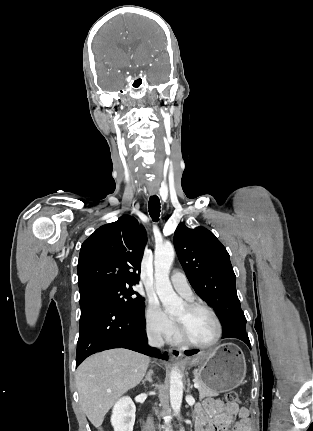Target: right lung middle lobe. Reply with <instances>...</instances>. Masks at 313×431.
Segmentation results:
<instances>
[{"label": "right lung middle lobe", "mask_w": 313, "mask_h": 431, "mask_svg": "<svg viewBox=\"0 0 313 431\" xmlns=\"http://www.w3.org/2000/svg\"><path fill=\"white\" fill-rule=\"evenodd\" d=\"M94 301L112 303L130 312H143L145 310L144 299L134 291L132 285H118L100 289L91 295L80 298V307Z\"/></svg>", "instance_id": "1"}]
</instances>
